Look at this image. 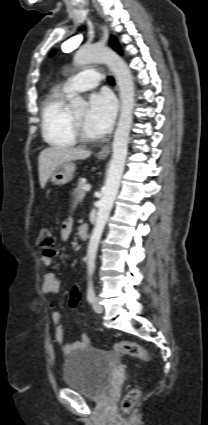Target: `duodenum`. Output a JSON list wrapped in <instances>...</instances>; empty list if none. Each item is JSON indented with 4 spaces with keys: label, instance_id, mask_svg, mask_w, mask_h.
Instances as JSON below:
<instances>
[{
    "label": "duodenum",
    "instance_id": "obj_1",
    "mask_svg": "<svg viewBox=\"0 0 208 425\" xmlns=\"http://www.w3.org/2000/svg\"><path fill=\"white\" fill-rule=\"evenodd\" d=\"M79 235L83 240H86L88 238V227L86 225L80 226Z\"/></svg>",
    "mask_w": 208,
    "mask_h": 425
}]
</instances>
